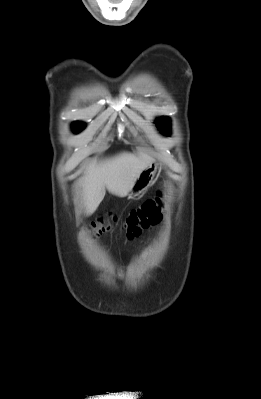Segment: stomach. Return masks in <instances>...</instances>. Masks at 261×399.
<instances>
[{"label": "stomach", "instance_id": "1", "mask_svg": "<svg viewBox=\"0 0 261 399\" xmlns=\"http://www.w3.org/2000/svg\"><path fill=\"white\" fill-rule=\"evenodd\" d=\"M157 170V165L155 163H151L148 165L136 179L131 191L130 196H138L144 190H146L154 180L155 174Z\"/></svg>", "mask_w": 261, "mask_h": 399}]
</instances>
